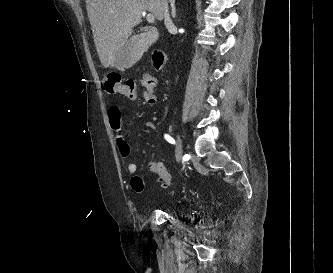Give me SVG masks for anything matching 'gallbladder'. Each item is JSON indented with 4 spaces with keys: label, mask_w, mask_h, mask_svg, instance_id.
<instances>
[{
    "label": "gallbladder",
    "mask_w": 333,
    "mask_h": 273,
    "mask_svg": "<svg viewBox=\"0 0 333 273\" xmlns=\"http://www.w3.org/2000/svg\"><path fill=\"white\" fill-rule=\"evenodd\" d=\"M145 40V34L130 38L123 47L120 55L116 58L113 66L121 71L131 68L148 49L150 44L146 43Z\"/></svg>",
    "instance_id": "obj_1"
}]
</instances>
